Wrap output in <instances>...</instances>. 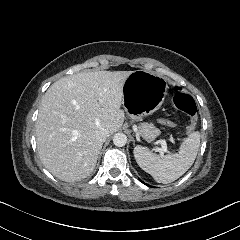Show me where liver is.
<instances>
[{
  "label": "liver",
  "instance_id": "obj_1",
  "mask_svg": "<svg viewBox=\"0 0 240 240\" xmlns=\"http://www.w3.org/2000/svg\"><path fill=\"white\" fill-rule=\"evenodd\" d=\"M132 71L97 70L62 77L42 98L36 120L40 160L56 178L80 181L95 168L101 141L97 130L113 134L124 122L123 87Z\"/></svg>",
  "mask_w": 240,
  "mask_h": 240
}]
</instances>
